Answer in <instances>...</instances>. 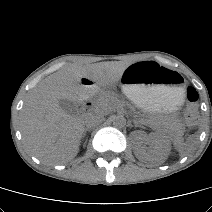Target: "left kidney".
Segmentation results:
<instances>
[{
  "mask_svg": "<svg viewBox=\"0 0 212 212\" xmlns=\"http://www.w3.org/2000/svg\"><path fill=\"white\" fill-rule=\"evenodd\" d=\"M134 134L138 137V145L134 151L137 158H153L160 161L167 158L170 151V141L167 138L157 133L146 135L143 131H137ZM144 145L150 146L149 152Z\"/></svg>",
  "mask_w": 212,
  "mask_h": 212,
  "instance_id": "5707ae66",
  "label": "left kidney"
}]
</instances>
